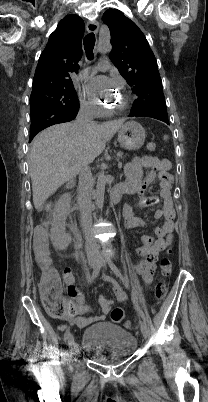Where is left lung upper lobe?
Masks as SVG:
<instances>
[{"label": "left lung upper lobe", "instance_id": "1", "mask_svg": "<svg viewBox=\"0 0 208 402\" xmlns=\"http://www.w3.org/2000/svg\"><path fill=\"white\" fill-rule=\"evenodd\" d=\"M103 22L111 33L110 59L138 96L130 113L168 120L157 61L146 37L117 9H108Z\"/></svg>", "mask_w": 208, "mask_h": 402}]
</instances>
